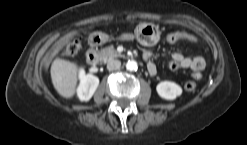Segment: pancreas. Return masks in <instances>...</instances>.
Listing matches in <instances>:
<instances>
[{
	"label": "pancreas",
	"mask_w": 247,
	"mask_h": 145,
	"mask_svg": "<svg viewBox=\"0 0 247 145\" xmlns=\"http://www.w3.org/2000/svg\"><path fill=\"white\" fill-rule=\"evenodd\" d=\"M120 56L122 55L116 51L113 45L105 47L99 51V57L104 62H107L110 59L117 58Z\"/></svg>",
	"instance_id": "pancreas-1"
}]
</instances>
